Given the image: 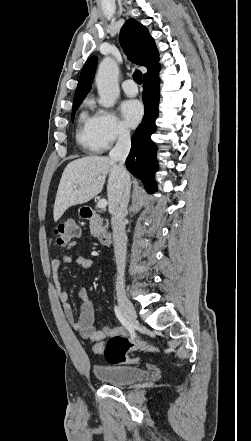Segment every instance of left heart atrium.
I'll use <instances>...</instances> for the list:
<instances>
[{"label": "left heart atrium", "instance_id": "obj_1", "mask_svg": "<svg viewBox=\"0 0 251 441\" xmlns=\"http://www.w3.org/2000/svg\"><path fill=\"white\" fill-rule=\"evenodd\" d=\"M121 112L125 124L129 127H135L141 121L144 109L140 101L130 99L121 104Z\"/></svg>", "mask_w": 251, "mask_h": 441}]
</instances>
